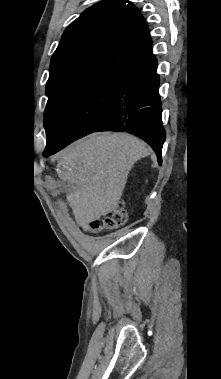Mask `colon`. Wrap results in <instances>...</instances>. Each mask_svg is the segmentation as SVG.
<instances>
[{"mask_svg":"<svg viewBox=\"0 0 221 379\" xmlns=\"http://www.w3.org/2000/svg\"><path fill=\"white\" fill-rule=\"evenodd\" d=\"M127 220V213L122 205L117 206L108 216L102 219H95L84 226V229L91 233H98L105 229H115Z\"/></svg>","mask_w":221,"mask_h":379,"instance_id":"1","label":"colon"}]
</instances>
